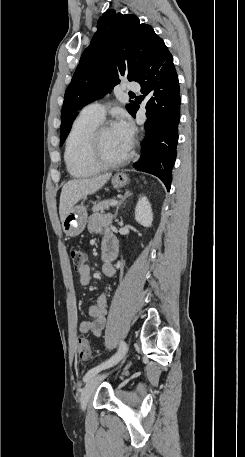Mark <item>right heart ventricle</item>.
I'll return each mask as SVG.
<instances>
[{
  "label": "right heart ventricle",
  "instance_id": "1",
  "mask_svg": "<svg viewBox=\"0 0 245 457\" xmlns=\"http://www.w3.org/2000/svg\"><path fill=\"white\" fill-rule=\"evenodd\" d=\"M100 123L87 115H80L73 123L66 140L65 160L69 172L75 177H82L92 174L95 170L83 164L81 152L84 139L88 131Z\"/></svg>",
  "mask_w": 245,
  "mask_h": 457
}]
</instances>
